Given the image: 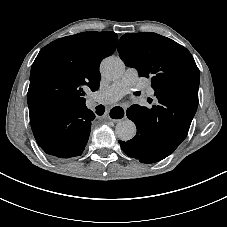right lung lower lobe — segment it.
Wrapping results in <instances>:
<instances>
[{
    "label": "right lung lower lobe",
    "instance_id": "1",
    "mask_svg": "<svg viewBox=\"0 0 227 227\" xmlns=\"http://www.w3.org/2000/svg\"><path fill=\"white\" fill-rule=\"evenodd\" d=\"M29 114L34 137L47 154L58 158L82 154L95 119L86 106L62 108L53 102L38 100L29 107Z\"/></svg>",
    "mask_w": 227,
    "mask_h": 227
}]
</instances>
